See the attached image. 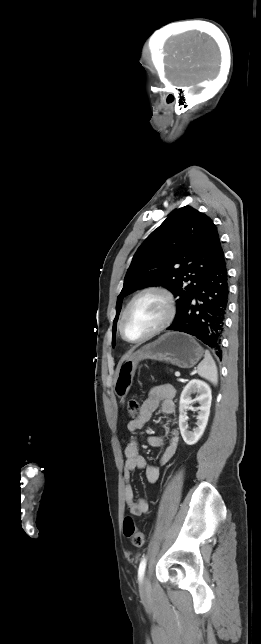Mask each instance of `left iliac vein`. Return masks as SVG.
Listing matches in <instances>:
<instances>
[{"instance_id": "left-iliac-vein-1", "label": "left iliac vein", "mask_w": 261, "mask_h": 644, "mask_svg": "<svg viewBox=\"0 0 261 644\" xmlns=\"http://www.w3.org/2000/svg\"><path fill=\"white\" fill-rule=\"evenodd\" d=\"M151 585L149 579L145 576L140 584V592L146 594L150 591Z\"/></svg>"}]
</instances>
